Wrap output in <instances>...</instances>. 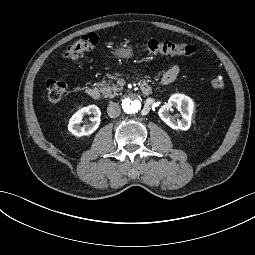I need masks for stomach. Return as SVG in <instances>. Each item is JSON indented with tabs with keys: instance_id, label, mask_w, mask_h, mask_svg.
<instances>
[{
	"instance_id": "obj_1",
	"label": "stomach",
	"mask_w": 255,
	"mask_h": 255,
	"mask_svg": "<svg viewBox=\"0 0 255 255\" xmlns=\"http://www.w3.org/2000/svg\"><path fill=\"white\" fill-rule=\"evenodd\" d=\"M111 54L114 58L128 60L134 58L136 52L132 46L121 45L112 48Z\"/></svg>"
}]
</instances>
